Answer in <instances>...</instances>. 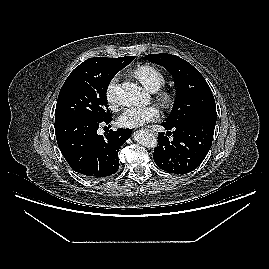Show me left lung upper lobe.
<instances>
[{
    "instance_id": "obj_1",
    "label": "left lung upper lobe",
    "mask_w": 269,
    "mask_h": 269,
    "mask_svg": "<svg viewBox=\"0 0 269 269\" xmlns=\"http://www.w3.org/2000/svg\"><path fill=\"white\" fill-rule=\"evenodd\" d=\"M142 59L165 67L176 82L177 99L171 114L163 124L174 127L199 117L216 118V105L212 91L204 77L190 63L167 53L149 54Z\"/></svg>"
}]
</instances>
